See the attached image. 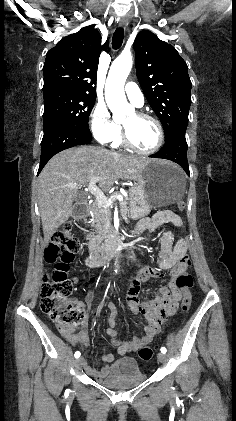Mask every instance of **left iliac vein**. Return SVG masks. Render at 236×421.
Segmentation results:
<instances>
[{
    "label": "left iliac vein",
    "instance_id": "left-iliac-vein-1",
    "mask_svg": "<svg viewBox=\"0 0 236 421\" xmlns=\"http://www.w3.org/2000/svg\"><path fill=\"white\" fill-rule=\"evenodd\" d=\"M157 359H158L160 362L165 363V362L167 361V356H166L164 353H158V354H157Z\"/></svg>",
    "mask_w": 236,
    "mask_h": 421
}]
</instances>
